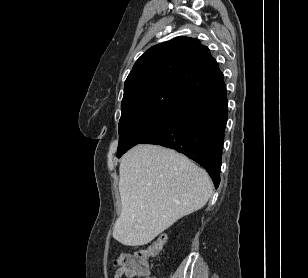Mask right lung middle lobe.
I'll return each instance as SVG.
<instances>
[{"label": "right lung middle lobe", "instance_id": "dd1d6c3e", "mask_svg": "<svg viewBox=\"0 0 308 278\" xmlns=\"http://www.w3.org/2000/svg\"><path fill=\"white\" fill-rule=\"evenodd\" d=\"M177 112L170 109L148 110L120 120L117 157L162 129Z\"/></svg>", "mask_w": 308, "mask_h": 278}]
</instances>
